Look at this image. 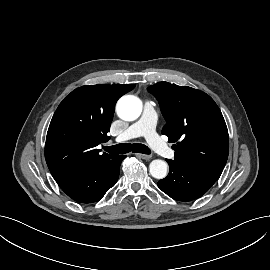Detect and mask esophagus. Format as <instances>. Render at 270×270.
<instances>
[{"instance_id":"1","label":"esophagus","mask_w":270,"mask_h":270,"mask_svg":"<svg viewBox=\"0 0 270 270\" xmlns=\"http://www.w3.org/2000/svg\"><path fill=\"white\" fill-rule=\"evenodd\" d=\"M135 155L144 160H150L152 158L151 155H146V154H141V153H136Z\"/></svg>"}]
</instances>
